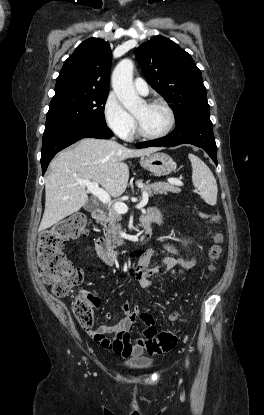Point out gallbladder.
Here are the masks:
<instances>
[{
	"label": "gallbladder",
	"instance_id": "obj_1",
	"mask_svg": "<svg viewBox=\"0 0 264 415\" xmlns=\"http://www.w3.org/2000/svg\"><path fill=\"white\" fill-rule=\"evenodd\" d=\"M94 207H95V205H94V203H93L92 201H88V202L85 204V206H84V208H85L86 210H92Z\"/></svg>",
	"mask_w": 264,
	"mask_h": 415
}]
</instances>
